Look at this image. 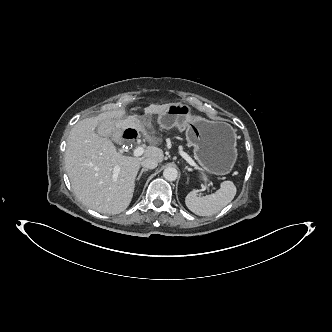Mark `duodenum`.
I'll return each mask as SVG.
<instances>
[{"instance_id": "duodenum-1", "label": "duodenum", "mask_w": 332, "mask_h": 332, "mask_svg": "<svg viewBox=\"0 0 332 332\" xmlns=\"http://www.w3.org/2000/svg\"><path fill=\"white\" fill-rule=\"evenodd\" d=\"M136 136L137 132L132 128H128L122 133V138L126 141H132L136 138Z\"/></svg>"}]
</instances>
